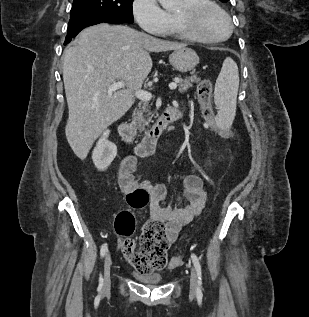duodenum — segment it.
Wrapping results in <instances>:
<instances>
[{
	"label": "duodenum",
	"mask_w": 309,
	"mask_h": 317,
	"mask_svg": "<svg viewBox=\"0 0 309 317\" xmlns=\"http://www.w3.org/2000/svg\"><path fill=\"white\" fill-rule=\"evenodd\" d=\"M180 118L179 111L176 107H168L159 116L157 121L147 131L144 138L134 148V151L139 156H150L155 152L156 144L161 134L177 119ZM119 135L122 140L131 144L133 141V134L126 123H121L118 127Z\"/></svg>",
	"instance_id": "duodenum-1"
}]
</instances>
